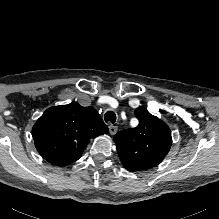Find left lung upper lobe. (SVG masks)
I'll use <instances>...</instances> for the list:
<instances>
[{"mask_svg": "<svg viewBox=\"0 0 219 219\" xmlns=\"http://www.w3.org/2000/svg\"><path fill=\"white\" fill-rule=\"evenodd\" d=\"M139 125L114 136L118 155L124 167L140 172L160 164L172 145L171 131L159 118L144 107L135 110Z\"/></svg>", "mask_w": 219, "mask_h": 219, "instance_id": "1", "label": "left lung upper lobe"}]
</instances>
